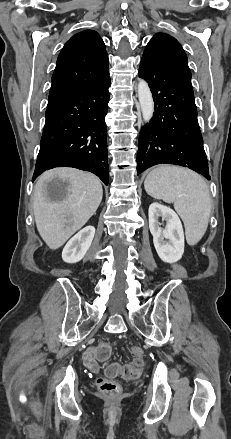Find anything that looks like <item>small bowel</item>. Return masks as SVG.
<instances>
[{
  "instance_id": "small-bowel-1",
  "label": "small bowel",
  "mask_w": 231,
  "mask_h": 439,
  "mask_svg": "<svg viewBox=\"0 0 231 439\" xmlns=\"http://www.w3.org/2000/svg\"><path fill=\"white\" fill-rule=\"evenodd\" d=\"M97 347L89 348L84 354H83V361L86 367H88L91 370H97L98 368V362H97V356H96Z\"/></svg>"
}]
</instances>
